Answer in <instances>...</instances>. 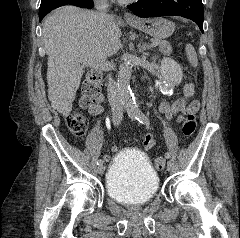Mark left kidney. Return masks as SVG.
Instances as JSON below:
<instances>
[{
  "label": "left kidney",
  "mask_w": 240,
  "mask_h": 238,
  "mask_svg": "<svg viewBox=\"0 0 240 238\" xmlns=\"http://www.w3.org/2000/svg\"><path fill=\"white\" fill-rule=\"evenodd\" d=\"M183 77L181 66L173 59L164 57L161 60V80L158 83L163 94H169Z\"/></svg>",
  "instance_id": "5707ae66"
}]
</instances>
